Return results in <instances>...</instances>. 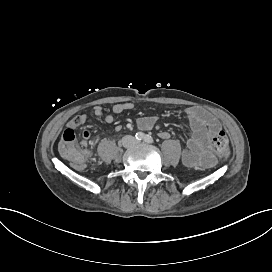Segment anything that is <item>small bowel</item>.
Returning a JSON list of instances; mask_svg holds the SVG:
<instances>
[{
	"mask_svg": "<svg viewBox=\"0 0 272 272\" xmlns=\"http://www.w3.org/2000/svg\"><path fill=\"white\" fill-rule=\"evenodd\" d=\"M134 108V105L130 102L117 103L113 106V112L115 114H121L126 111H130ZM92 113L95 117H102L104 110L102 106L95 105L92 109ZM185 127L187 131V145L182 153V161L187 167H196L203 165L204 155L208 149L209 137L212 134H216L220 131V123L217 118L209 111L201 107H189L185 111ZM104 121L107 124L114 122V116L107 114L104 116ZM157 121L156 116H146L138 119V127L142 130L151 129ZM87 122L86 114H78L71 119L67 126H72L75 129ZM116 130L120 131L121 126H116ZM82 137L88 140L91 137V131L84 129L82 131ZM159 137L162 139H168L170 137L169 132L162 131L159 133Z\"/></svg>",
	"mask_w": 272,
	"mask_h": 272,
	"instance_id": "obj_1",
	"label": "small bowel"
}]
</instances>
